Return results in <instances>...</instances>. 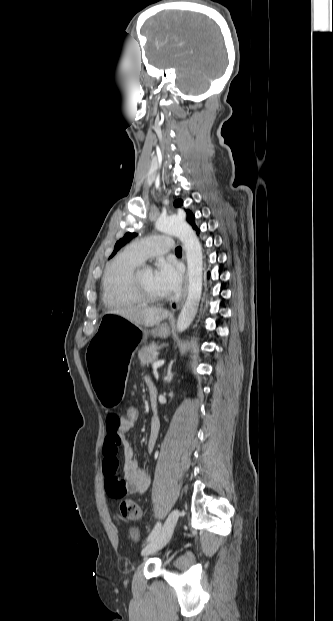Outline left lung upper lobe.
Instances as JSON below:
<instances>
[{
  "instance_id": "1",
  "label": "left lung upper lobe",
  "mask_w": 333,
  "mask_h": 621,
  "mask_svg": "<svg viewBox=\"0 0 333 621\" xmlns=\"http://www.w3.org/2000/svg\"><path fill=\"white\" fill-rule=\"evenodd\" d=\"M183 205V201L181 199H178L174 202V206L175 207H180ZM186 220L187 222L193 227L195 228V222H194V215L190 210H186ZM137 234L136 233H132V232H127L123 238L119 239L115 246H114V251L112 253V255L110 256V258L112 256H114L117 251L123 247L125 244H127L130 240H132Z\"/></svg>"
}]
</instances>
